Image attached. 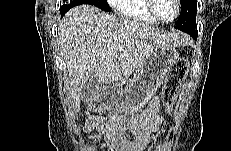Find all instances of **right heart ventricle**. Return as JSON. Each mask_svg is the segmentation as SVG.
<instances>
[{
	"label": "right heart ventricle",
	"instance_id": "right-heart-ventricle-1",
	"mask_svg": "<svg viewBox=\"0 0 231 151\" xmlns=\"http://www.w3.org/2000/svg\"><path fill=\"white\" fill-rule=\"evenodd\" d=\"M146 2L147 0H120L115 8L128 22L156 25L158 22L149 15Z\"/></svg>",
	"mask_w": 231,
	"mask_h": 151
}]
</instances>
